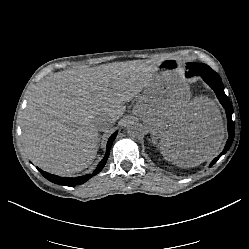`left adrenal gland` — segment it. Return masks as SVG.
Returning <instances> with one entry per match:
<instances>
[{"label": "left adrenal gland", "instance_id": "left-adrenal-gland-1", "mask_svg": "<svg viewBox=\"0 0 249 249\" xmlns=\"http://www.w3.org/2000/svg\"><path fill=\"white\" fill-rule=\"evenodd\" d=\"M152 142L155 143V139H152Z\"/></svg>", "mask_w": 249, "mask_h": 249}]
</instances>
